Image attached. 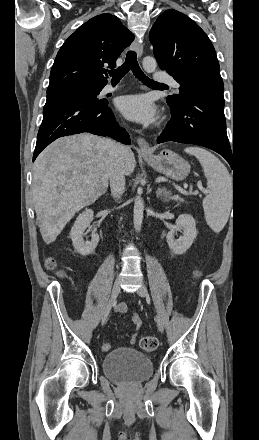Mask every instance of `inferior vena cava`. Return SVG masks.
<instances>
[{
  "label": "inferior vena cava",
  "instance_id": "inferior-vena-cava-1",
  "mask_svg": "<svg viewBox=\"0 0 259 440\" xmlns=\"http://www.w3.org/2000/svg\"><path fill=\"white\" fill-rule=\"evenodd\" d=\"M114 161L109 171V181L111 194L113 198L120 199L125 191V177L123 171V156L126 152V147L115 143L113 146Z\"/></svg>",
  "mask_w": 259,
  "mask_h": 440
}]
</instances>
